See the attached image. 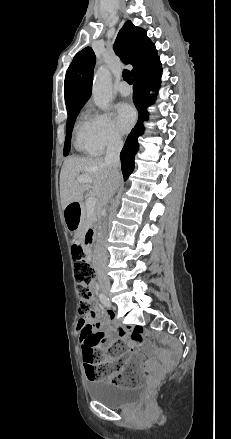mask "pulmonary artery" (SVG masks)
<instances>
[{"label": "pulmonary artery", "mask_w": 231, "mask_h": 439, "mask_svg": "<svg viewBox=\"0 0 231 439\" xmlns=\"http://www.w3.org/2000/svg\"><path fill=\"white\" fill-rule=\"evenodd\" d=\"M118 89H119V92L121 93V95H123V96H127V95H129L131 93L130 86L127 83H125V82H121L119 84Z\"/></svg>", "instance_id": "1"}]
</instances>
